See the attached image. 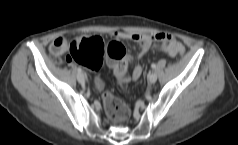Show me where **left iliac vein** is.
<instances>
[{"label": "left iliac vein", "mask_w": 238, "mask_h": 145, "mask_svg": "<svg viewBox=\"0 0 238 145\" xmlns=\"http://www.w3.org/2000/svg\"><path fill=\"white\" fill-rule=\"evenodd\" d=\"M157 81V75L155 73H152L148 77V82L150 84H154Z\"/></svg>", "instance_id": "obj_1"}]
</instances>
